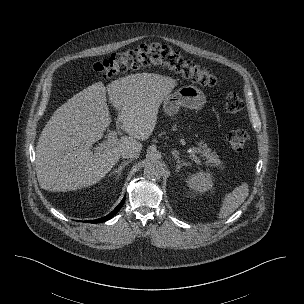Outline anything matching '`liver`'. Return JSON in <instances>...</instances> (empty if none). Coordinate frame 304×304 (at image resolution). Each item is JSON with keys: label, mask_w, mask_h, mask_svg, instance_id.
Segmentation results:
<instances>
[{"label": "liver", "mask_w": 304, "mask_h": 304, "mask_svg": "<svg viewBox=\"0 0 304 304\" xmlns=\"http://www.w3.org/2000/svg\"><path fill=\"white\" fill-rule=\"evenodd\" d=\"M177 85L154 73H137L88 86L61 105L43 128L36 148V173L47 191H73L96 184L118 162L121 153L142 149L138 140L152 134L160 104ZM118 111L122 136L112 147L93 152L111 118L106 93Z\"/></svg>", "instance_id": "1"}]
</instances>
